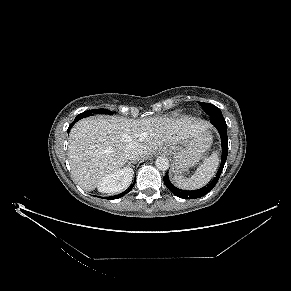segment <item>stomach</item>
<instances>
[{"mask_svg": "<svg viewBox=\"0 0 291 291\" xmlns=\"http://www.w3.org/2000/svg\"><path fill=\"white\" fill-rule=\"evenodd\" d=\"M211 144L212 135L209 130H205L180 144L164 146L163 151L173 159L174 177H182L190 167L195 166Z\"/></svg>", "mask_w": 291, "mask_h": 291, "instance_id": "0dacf381", "label": "stomach"}]
</instances>
